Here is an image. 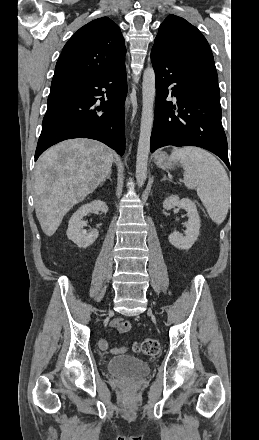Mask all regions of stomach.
Returning <instances> with one entry per match:
<instances>
[{"mask_svg": "<svg viewBox=\"0 0 259 440\" xmlns=\"http://www.w3.org/2000/svg\"><path fill=\"white\" fill-rule=\"evenodd\" d=\"M156 165L162 169H174L177 165L176 160H172L164 151L156 153L154 156Z\"/></svg>", "mask_w": 259, "mask_h": 440, "instance_id": "stomach-1", "label": "stomach"}]
</instances>
